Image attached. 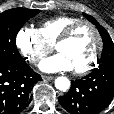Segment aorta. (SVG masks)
I'll use <instances>...</instances> for the list:
<instances>
[{
    "label": "aorta",
    "instance_id": "obj_1",
    "mask_svg": "<svg viewBox=\"0 0 114 114\" xmlns=\"http://www.w3.org/2000/svg\"><path fill=\"white\" fill-rule=\"evenodd\" d=\"M55 87L60 91H66L70 88V81L67 77H58L55 80Z\"/></svg>",
    "mask_w": 114,
    "mask_h": 114
}]
</instances>
